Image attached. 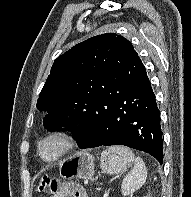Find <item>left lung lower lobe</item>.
Wrapping results in <instances>:
<instances>
[{"instance_id":"left-lung-lower-lobe-1","label":"left lung lower lobe","mask_w":191,"mask_h":197,"mask_svg":"<svg viewBox=\"0 0 191 197\" xmlns=\"http://www.w3.org/2000/svg\"><path fill=\"white\" fill-rule=\"evenodd\" d=\"M81 148L124 145L163 163L162 131L146 70L129 73L119 88L82 119L75 134Z\"/></svg>"}]
</instances>
